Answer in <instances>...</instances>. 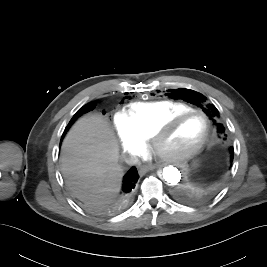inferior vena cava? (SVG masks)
Masks as SVG:
<instances>
[{"label":"inferior vena cava","instance_id":"1","mask_svg":"<svg viewBox=\"0 0 267 267\" xmlns=\"http://www.w3.org/2000/svg\"><path fill=\"white\" fill-rule=\"evenodd\" d=\"M123 160L125 161V163H127L128 165H136L139 164V159L137 156L135 155H124L123 156Z\"/></svg>","mask_w":267,"mask_h":267}]
</instances>
